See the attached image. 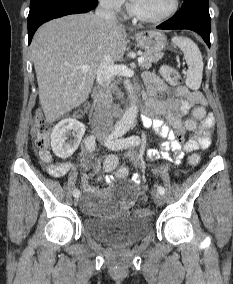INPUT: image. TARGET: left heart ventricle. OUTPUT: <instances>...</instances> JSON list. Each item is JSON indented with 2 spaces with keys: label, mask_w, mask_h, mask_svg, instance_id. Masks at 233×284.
<instances>
[{
  "label": "left heart ventricle",
  "mask_w": 233,
  "mask_h": 284,
  "mask_svg": "<svg viewBox=\"0 0 233 284\" xmlns=\"http://www.w3.org/2000/svg\"><path fill=\"white\" fill-rule=\"evenodd\" d=\"M135 9L143 15L156 17L165 13L172 0H131Z\"/></svg>",
  "instance_id": "obj_1"
}]
</instances>
